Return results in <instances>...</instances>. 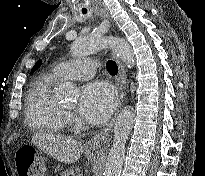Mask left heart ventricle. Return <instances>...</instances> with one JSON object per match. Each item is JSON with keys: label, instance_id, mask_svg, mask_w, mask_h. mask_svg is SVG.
Returning <instances> with one entry per match:
<instances>
[{"label": "left heart ventricle", "instance_id": "obj_1", "mask_svg": "<svg viewBox=\"0 0 205 176\" xmlns=\"http://www.w3.org/2000/svg\"><path fill=\"white\" fill-rule=\"evenodd\" d=\"M65 108L68 109L69 107H68V106H65Z\"/></svg>", "mask_w": 205, "mask_h": 176}]
</instances>
